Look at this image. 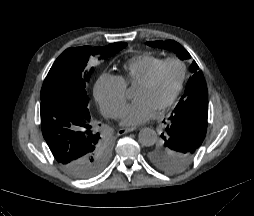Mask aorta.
<instances>
[{"mask_svg":"<svg viewBox=\"0 0 254 216\" xmlns=\"http://www.w3.org/2000/svg\"><path fill=\"white\" fill-rule=\"evenodd\" d=\"M138 138H139V142L143 146L149 147V146H152L156 143L157 134L151 128H143V129L140 130Z\"/></svg>","mask_w":254,"mask_h":216,"instance_id":"obj_1","label":"aorta"}]
</instances>
